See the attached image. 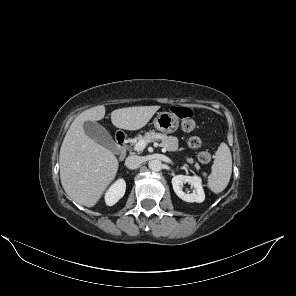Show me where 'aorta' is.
Instances as JSON below:
<instances>
[{"instance_id": "obj_1", "label": "aorta", "mask_w": 296, "mask_h": 296, "mask_svg": "<svg viewBox=\"0 0 296 296\" xmlns=\"http://www.w3.org/2000/svg\"><path fill=\"white\" fill-rule=\"evenodd\" d=\"M149 169L154 172H158L162 169V162L160 160H151L149 162Z\"/></svg>"}]
</instances>
